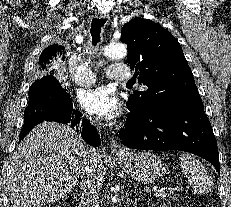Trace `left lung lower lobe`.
<instances>
[{
	"instance_id": "1",
	"label": "left lung lower lobe",
	"mask_w": 231,
	"mask_h": 207,
	"mask_svg": "<svg viewBox=\"0 0 231 207\" xmlns=\"http://www.w3.org/2000/svg\"><path fill=\"white\" fill-rule=\"evenodd\" d=\"M120 137L132 149L188 151L208 160L220 173L217 142L203 103L156 114L131 113Z\"/></svg>"
}]
</instances>
